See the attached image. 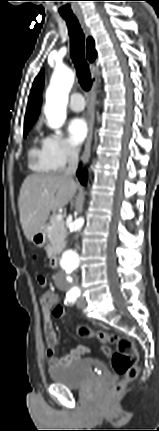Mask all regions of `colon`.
I'll return each mask as SVG.
<instances>
[{
  "instance_id": "1",
  "label": "colon",
  "mask_w": 159,
  "mask_h": 431,
  "mask_svg": "<svg viewBox=\"0 0 159 431\" xmlns=\"http://www.w3.org/2000/svg\"><path fill=\"white\" fill-rule=\"evenodd\" d=\"M48 294L47 303L49 307H55L52 320L59 322L65 316L66 309L60 301L54 304L57 295L56 290L51 289ZM77 333L82 338H95L103 344L100 353L107 356L112 368L122 377L121 381L116 383L110 391L112 398L118 397L126 385L138 375V354L134 343L126 336L106 330H93L86 324L78 325Z\"/></svg>"
}]
</instances>
